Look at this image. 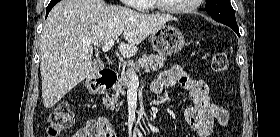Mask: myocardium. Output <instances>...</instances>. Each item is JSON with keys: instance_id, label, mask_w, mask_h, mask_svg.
<instances>
[{"instance_id": "1", "label": "myocardium", "mask_w": 280, "mask_h": 137, "mask_svg": "<svg viewBox=\"0 0 280 137\" xmlns=\"http://www.w3.org/2000/svg\"><path fill=\"white\" fill-rule=\"evenodd\" d=\"M158 9L170 14H176V15H182V14H187L190 13L194 10H196L199 7V3L201 2V0H193L191 4L187 5V6H182V7H178V8H171V7H167L163 4H161V0H153Z\"/></svg>"}]
</instances>
